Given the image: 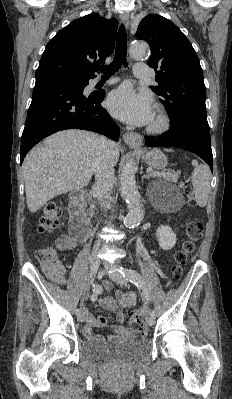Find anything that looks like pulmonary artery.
Segmentation results:
<instances>
[{
  "instance_id": "pulmonary-artery-1",
  "label": "pulmonary artery",
  "mask_w": 232,
  "mask_h": 399,
  "mask_svg": "<svg viewBox=\"0 0 232 399\" xmlns=\"http://www.w3.org/2000/svg\"><path fill=\"white\" fill-rule=\"evenodd\" d=\"M148 65L147 63H136L135 64V70L133 71V74L136 76L137 80H146L148 78V75L150 74V71L147 69ZM98 83V80H94L93 84ZM112 84L111 82H107L106 85Z\"/></svg>"
}]
</instances>
